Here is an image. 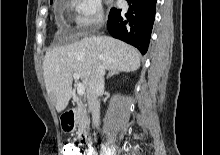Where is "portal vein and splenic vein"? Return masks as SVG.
I'll list each match as a JSON object with an SVG mask.
<instances>
[{
    "label": "portal vein and splenic vein",
    "instance_id": "portal-vein-and-splenic-vein-1",
    "mask_svg": "<svg viewBox=\"0 0 220 155\" xmlns=\"http://www.w3.org/2000/svg\"><path fill=\"white\" fill-rule=\"evenodd\" d=\"M73 78L75 80H79V74L78 73H73ZM85 92V87L82 83L77 84V93L79 96H82Z\"/></svg>",
    "mask_w": 220,
    "mask_h": 155
}]
</instances>
